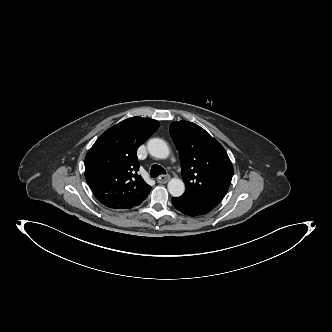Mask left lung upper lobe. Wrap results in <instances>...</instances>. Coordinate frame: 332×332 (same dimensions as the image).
<instances>
[{
    "mask_svg": "<svg viewBox=\"0 0 332 332\" xmlns=\"http://www.w3.org/2000/svg\"><path fill=\"white\" fill-rule=\"evenodd\" d=\"M170 134L179 152L186 190L182 198L212 210L226 195L233 166L225 149L203 128L175 121Z\"/></svg>",
    "mask_w": 332,
    "mask_h": 332,
    "instance_id": "left-lung-upper-lobe-1",
    "label": "left lung upper lobe"
}]
</instances>
